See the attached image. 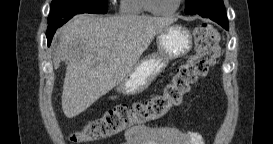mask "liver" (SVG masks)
I'll list each match as a JSON object with an SVG mask.
<instances>
[{"label": "liver", "mask_w": 273, "mask_h": 144, "mask_svg": "<svg viewBox=\"0 0 273 144\" xmlns=\"http://www.w3.org/2000/svg\"><path fill=\"white\" fill-rule=\"evenodd\" d=\"M175 21L149 16L73 17L59 31L54 68L67 63L62 109L73 118L120 84L154 37Z\"/></svg>", "instance_id": "obj_1"}]
</instances>
